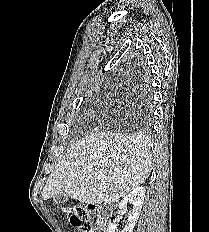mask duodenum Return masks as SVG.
<instances>
[{"mask_svg": "<svg viewBox=\"0 0 209 232\" xmlns=\"http://www.w3.org/2000/svg\"><path fill=\"white\" fill-rule=\"evenodd\" d=\"M97 229H100V232H105V230H106V223H105L104 221H102V222L99 224V226H98Z\"/></svg>", "mask_w": 209, "mask_h": 232, "instance_id": "410a0bca", "label": "duodenum"}]
</instances>
